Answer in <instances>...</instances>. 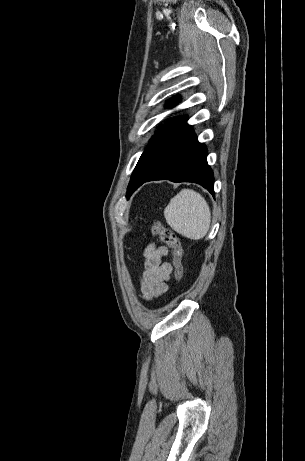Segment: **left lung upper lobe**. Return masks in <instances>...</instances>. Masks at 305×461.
<instances>
[{"instance_id": "1", "label": "left lung upper lobe", "mask_w": 305, "mask_h": 461, "mask_svg": "<svg viewBox=\"0 0 305 461\" xmlns=\"http://www.w3.org/2000/svg\"><path fill=\"white\" fill-rule=\"evenodd\" d=\"M179 102V98H173L167 102L166 107H173ZM152 139H150L148 147L145 149V151L142 153L135 169L134 172L131 176L130 183L128 185L127 189V196L129 197L130 193L132 192L134 186L136 183L141 179L149 170L151 162H152V152H151V143Z\"/></svg>"}]
</instances>
